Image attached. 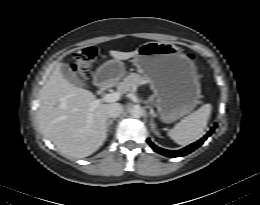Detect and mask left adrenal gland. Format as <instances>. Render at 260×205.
<instances>
[{
  "label": "left adrenal gland",
  "mask_w": 260,
  "mask_h": 205,
  "mask_svg": "<svg viewBox=\"0 0 260 205\" xmlns=\"http://www.w3.org/2000/svg\"><path fill=\"white\" fill-rule=\"evenodd\" d=\"M150 126H151L152 131H153L155 134H157L156 125L154 124V121H153V118H152V117H151Z\"/></svg>",
  "instance_id": "left-adrenal-gland-1"
}]
</instances>
